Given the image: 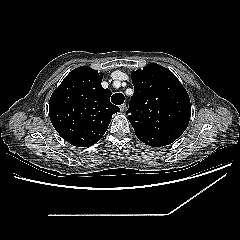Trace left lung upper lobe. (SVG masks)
<instances>
[{
	"label": "left lung upper lobe",
	"mask_w": 240,
	"mask_h": 240,
	"mask_svg": "<svg viewBox=\"0 0 240 240\" xmlns=\"http://www.w3.org/2000/svg\"><path fill=\"white\" fill-rule=\"evenodd\" d=\"M134 94L128 119L136 136L179 138L188 126L191 105L187 91L178 78L165 67L151 63L132 73Z\"/></svg>",
	"instance_id": "1"
}]
</instances>
